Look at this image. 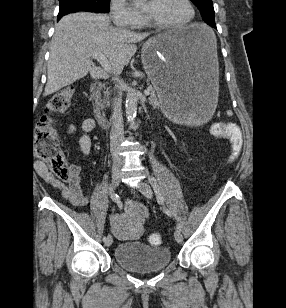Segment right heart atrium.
Listing matches in <instances>:
<instances>
[{"instance_id": "1", "label": "right heart atrium", "mask_w": 286, "mask_h": 308, "mask_svg": "<svg viewBox=\"0 0 286 308\" xmlns=\"http://www.w3.org/2000/svg\"><path fill=\"white\" fill-rule=\"evenodd\" d=\"M110 10L112 21L118 27L133 29L144 22V18L132 9L126 0H111Z\"/></svg>"}]
</instances>
